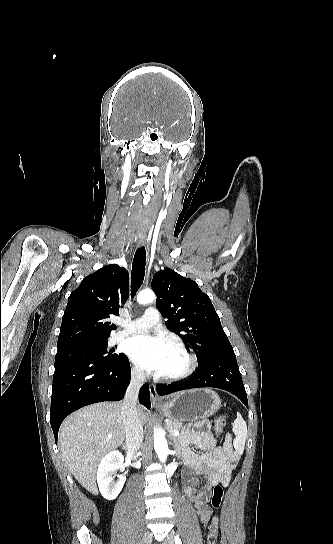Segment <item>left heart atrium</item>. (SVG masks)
Returning <instances> with one entry per match:
<instances>
[{
  "label": "left heart atrium",
  "instance_id": "left-heart-atrium-1",
  "mask_svg": "<svg viewBox=\"0 0 333 544\" xmlns=\"http://www.w3.org/2000/svg\"><path fill=\"white\" fill-rule=\"evenodd\" d=\"M171 345L161 336L139 333L125 342V352L140 367L160 373Z\"/></svg>",
  "mask_w": 333,
  "mask_h": 544
}]
</instances>
